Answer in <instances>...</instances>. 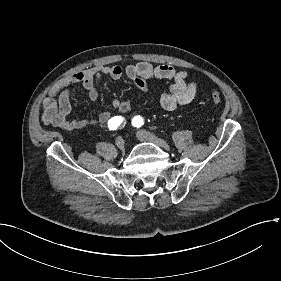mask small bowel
Here are the masks:
<instances>
[{
    "label": "small bowel",
    "instance_id": "obj_1",
    "mask_svg": "<svg viewBox=\"0 0 281 281\" xmlns=\"http://www.w3.org/2000/svg\"><path fill=\"white\" fill-rule=\"evenodd\" d=\"M103 76L113 80H120L126 76L133 80L141 91H147L148 79L169 80L171 82L170 91L160 98L161 106L167 111H174L180 106L189 104L194 99L197 90V84L188 81L186 71H178L170 65L155 66L149 62H140L125 67L119 65L95 66L69 75L58 82L50 96L42 103V122L45 125L67 131L79 130L96 123H108L112 118L108 111L101 112L96 118L70 119L68 117L71 112V87L75 84L81 85L87 91L88 99L96 101L99 93L95 87V81ZM112 106L119 113L124 114L129 111L130 102L114 100Z\"/></svg>",
    "mask_w": 281,
    "mask_h": 281
}]
</instances>
